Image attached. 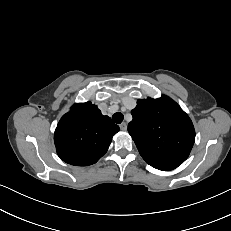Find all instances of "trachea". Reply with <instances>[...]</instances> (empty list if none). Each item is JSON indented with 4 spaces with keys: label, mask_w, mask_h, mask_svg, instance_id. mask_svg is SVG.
<instances>
[{
    "label": "trachea",
    "mask_w": 231,
    "mask_h": 231,
    "mask_svg": "<svg viewBox=\"0 0 231 231\" xmlns=\"http://www.w3.org/2000/svg\"><path fill=\"white\" fill-rule=\"evenodd\" d=\"M112 119L113 121L116 123V124H120L123 119H124V116L121 112H116L113 116H112Z\"/></svg>",
    "instance_id": "1"
}]
</instances>
